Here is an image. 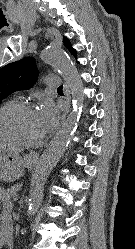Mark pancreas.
<instances>
[{"label":"pancreas","mask_w":135,"mask_h":249,"mask_svg":"<svg viewBox=\"0 0 135 249\" xmlns=\"http://www.w3.org/2000/svg\"><path fill=\"white\" fill-rule=\"evenodd\" d=\"M18 191V186H12L11 188L7 189L6 191H3L5 194V198L9 199L11 196H14L16 192Z\"/></svg>","instance_id":"1"}]
</instances>
